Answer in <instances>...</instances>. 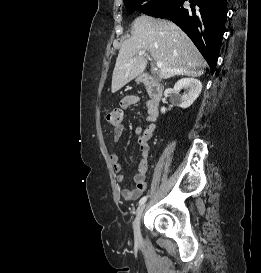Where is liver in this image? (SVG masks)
Listing matches in <instances>:
<instances>
[{
  "mask_svg": "<svg viewBox=\"0 0 261 273\" xmlns=\"http://www.w3.org/2000/svg\"><path fill=\"white\" fill-rule=\"evenodd\" d=\"M142 50L148 51L155 61L162 62L160 79L204 74V58L177 25L143 15L134 20L132 36L124 41L119 51L112 75V93L144 72L148 56H139Z\"/></svg>",
  "mask_w": 261,
  "mask_h": 273,
  "instance_id": "6515ba94",
  "label": "liver"
}]
</instances>
